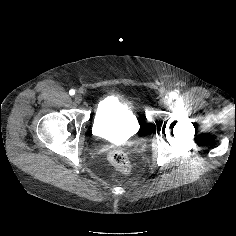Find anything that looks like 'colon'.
Returning a JSON list of instances; mask_svg holds the SVG:
<instances>
[{
  "instance_id": "colon-1",
  "label": "colon",
  "mask_w": 236,
  "mask_h": 236,
  "mask_svg": "<svg viewBox=\"0 0 236 236\" xmlns=\"http://www.w3.org/2000/svg\"><path fill=\"white\" fill-rule=\"evenodd\" d=\"M110 163L122 174L127 175L131 171L128 156L120 149H113L108 154Z\"/></svg>"
}]
</instances>
